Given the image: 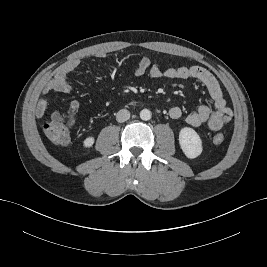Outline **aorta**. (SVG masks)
Returning a JSON list of instances; mask_svg holds the SVG:
<instances>
[{
    "mask_svg": "<svg viewBox=\"0 0 267 267\" xmlns=\"http://www.w3.org/2000/svg\"><path fill=\"white\" fill-rule=\"evenodd\" d=\"M140 118L144 121H148L151 119V111L148 109H143L140 112Z\"/></svg>",
    "mask_w": 267,
    "mask_h": 267,
    "instance_id": "aorta-1",
    "label": "aorta"
}]
</instances>
